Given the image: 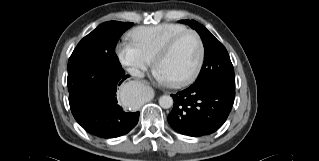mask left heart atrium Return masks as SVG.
I'll use <instances>...</instances> for the list:
<instances>
[{"mask_svg":"<svg viewBox=\"0 0 319 161\" xmlns=\"http://www.w3.org/2000/svg\"><path fill=\"white\" fill-rule=\"evenodd\" d=\"M155 77L161 82L167 81L166 77L158 69H156V71H155Z\"/></svg>","mask_w":319,"mask_h":161,"instance_id":"obj_1","label":"left heart atrium"}]
</instances>
